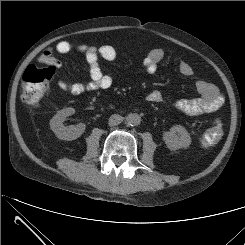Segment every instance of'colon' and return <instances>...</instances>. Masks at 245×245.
Here are the masks:
<instances>
[{
	"mask_svg": "<svg viewBox=\"0 0 245 245\" xmlns=\"http://www.w3.org/2000/svg\"><path fill=\"white\" fill-rule=\"evenodd\" d=\"M52 72L49 68H39L34 65L27 67L22 78V100L28 105H36L47 93ZM223 135V121L220 117L204 133L202 142L205 146L216 144Z\"/></svg>",
	"mask_w": 245,
	"mask_h": 245,
	"instance_id": "colon-1",
	"label": "colon"
}]
</instances>
